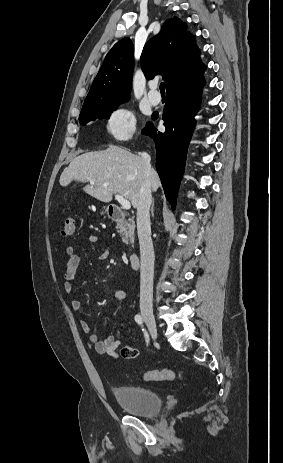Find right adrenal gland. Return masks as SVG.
<instances>
[{"label":"right adrenal gland","mask_w":283,"mask_h":463,"mask_svg":"<svg viewBox=\"0 0 283 463\" xmlns=\"http://www.w3.org/2000/svg\"><path fill=\"white\" fill-rule=\"evenodd\" d=\"M151 215L152 217L154 216V198L152 200V205H151Z\"/></svg>","instance_id":"1"}]
</instances>
